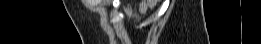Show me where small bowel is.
Wrapping results in <instances>:
<instances>
[{
  "mask_svg": "<svg viewBox=\"0 0 261 44\" xmlns=\"http://www.w3.org/2000/svg\"><path fill=\"white\" fill-rule=\"evenodd\" d=\"M141 9L145 10L146 9V5L144 3L141 4Z\"/></svg>",
  "mask_w": 261,
  "mask_h": 44,
  "instance_id": "small-bowel-1",
  "label": "small bowel"
}]
</instances>
